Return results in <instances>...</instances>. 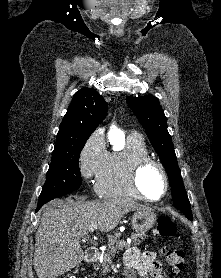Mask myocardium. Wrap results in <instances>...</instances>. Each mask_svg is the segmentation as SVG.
I'll list each match as a JSON object with an SVG mask.
<instances>
[{"mask_svg": "<svg viewBox=\"0 0 221 278\" xmlns=\"http://www.w3.org/2000/svg\"><path fill=\"white\" fill-rule=\"evenodd\" d=\"M148 167L156 168L160 172V174L163 178V181H164V191H163L162 195L156 199H153V198H150L149 196H147L141 185V176ZM129 178H130V184H131V187H132L134 193L140 199H143L147 202L161 201L166 196L168 189H169V180H168V176H167V173H166L164 167L158 161H156L155 159H153L149 156L140 157L133 161V163L131 164V167H130Z\"/></svg>", "mask_w": 221, "mask_h": 278, "instance_id": "obj_1", "label": "myocardium"}]
</instances>
